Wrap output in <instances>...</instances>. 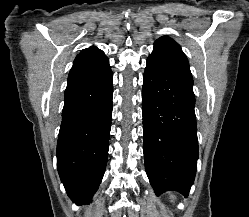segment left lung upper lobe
I'll return each instance as SVG.
<instances>
[{"instance_id": "left-lung-upper-lobe-1", "label": "left lung upper lobe", "mask_w": 249, "mask_h": 217, "mask_svg": "<svg viewBox=\"0 0 249 217\" xmlns=\"http://www.w3.org/2000/svg\"><path fill=\"white\" fill-rule=\"evenodd\" d=\"M147 60L191 73L189 62L180 45L168 36H163L155 41L153 52Z\"/></svg>"}]
</instances>
